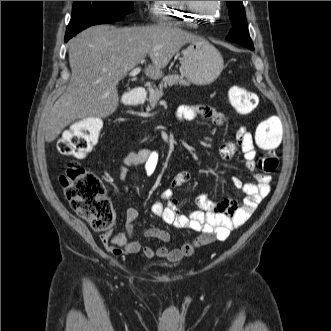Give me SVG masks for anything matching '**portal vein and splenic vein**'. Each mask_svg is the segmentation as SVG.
Wrapping results in <instances>:
<instances>
[{
	"mask_svg": "<svg viewBox=\"0 0 331 331\" xmlns=\"http://www.w3.org/2000/svg\"><path fill=\"white\" fill-rule=\"evenodd\" d=\"M140 71H141V68H140V67H137V68L133 69V70L129 73V76H131V77H135Z\"/></svg>",
	"mask_w": 331,
	"mask_h": 331,
	"instance_id": "18ae733b",
	"label": "portal vein and splenic vein"
}]
</instances>
